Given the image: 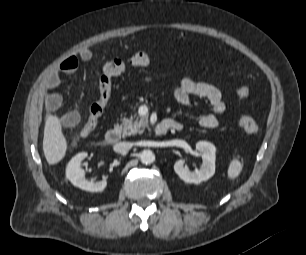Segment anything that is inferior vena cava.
Instances as JSON below:
<instances>
[{"mask_svg": "<svg viewBox=\"0 0 306 255\" xmlns=\"http://www.w3.org/2000/svg\"><path fill=\"white\" fill-rule=\"evenodd\" d=\"M132 148V143L130 142H119L114 145L113 149L117 153H126Z\"/></svg>", "mask_w": 306, "mask_h": 255, "instance_id": "1", "label": "inferior vena cava"}]
</instances>
